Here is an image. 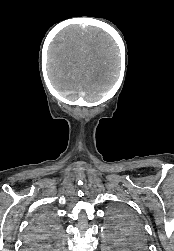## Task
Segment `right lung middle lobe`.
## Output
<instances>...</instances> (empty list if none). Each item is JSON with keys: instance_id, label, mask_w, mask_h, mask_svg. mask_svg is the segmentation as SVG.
I'll return each instance as SVG.
<instances>
[{"instance_id": "1", "label": "right lung middle lobe", "mask_w": 174, "mask_h": 251, "mask_svg": "<svg viewBox=\"0 0 174 251\" xmlns=\"http://www.w3.org/2000/svg\"><path fill=\"white\" fill-rule=\"evenodd\" d=\"M61 227L55 217L44 211L35 216L29 231L27 246L34 250H60L58 238Z\"/></svg>"}]
</instances>
